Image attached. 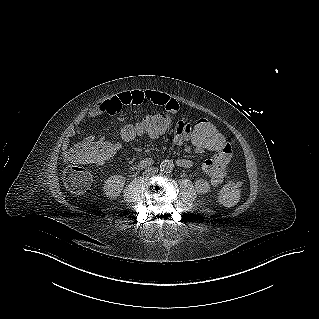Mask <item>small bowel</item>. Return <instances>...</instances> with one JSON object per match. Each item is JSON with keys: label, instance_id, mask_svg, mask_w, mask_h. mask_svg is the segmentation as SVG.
<instances>
[{"label": "small bowel", "instance_id": "small-bowel-1", "mask_svg": "<svg viewBox=\"0 0 319 319\" xmlns=\"http://www.w3.org/2000/svg\"><path fill=\"white\" fill-rule=\"evenodd\" d=\"M142 103L152 104L158 106V108H165L169 113H174L181 107L180 99H171L169 96L154 90L148 91H130L122 92L103 100L86 113L87 118H95L103 115H115L119 113L123 107L129 105H138ZM146 119V118H145ZM207 120V119H205ZM208 121V120H207ZM136 125V124H134ZM171 129L175 130L173 141L176 145L183 147L187 152L194 153L197 155L203 154L205 151L200 149L196 144L191 141L188 143L189 136L192 134V122L191 121H172ZM80 128L76 125L73 126L69 132L67 138L64 140L63 148L65 153L69 147L70 137L80 134ZM138 138V137H137ZM156 139L155 137H149ZM123 143H131L122 139ZM85 142L94 143L98 146L103 141H96L93 137H88ZM220 151L216 152L215 155L209 159H206L202 164V171L209 178V182L212 186L221 184L229 171V158L233 151L231 145L226 140L219 142ZM101 165L105 162L103 159L96 162ZM152 164L151 159H145L140 163L134 165L135 168H144ZM177 164L183 168H190L192 161L187 158L178 159Z\"/></svg>", "mask_w": 319, "mask_h": 319}]
</instances>
